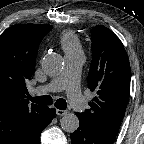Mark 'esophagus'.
I'll list each match as a JSON object with an SVG mask.
<instances>
[{
    "label": "esophagus",
    "mask_w": 144,
    "mask_h": 144,
    "mask_svg": "<svg viewBox=\"0 0 144 144\" xmlns=\"http://www.w3.org/2000/svg\"><path fill=\"white\" fill-rule=\"evenodd\" d=\"M67 113H68V111H66V110H60V109L56 110V114L59 116L66 115Z\"/></svg>",
    "instance_id": "34e87169"
}]
</instances>
